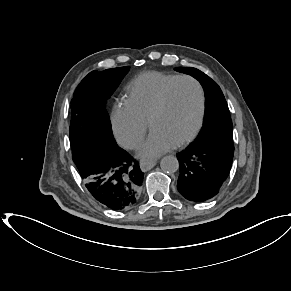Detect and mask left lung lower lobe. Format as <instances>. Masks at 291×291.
<instances>
[{
	"label": "left lung lower lobe",
	"instance_id": "obj_1",
	"mask_svg": "<svg viewBox=\"0 0 291 291\" xmlns=\"http://www.w3.org/2000/svg\"><path fill=\"white\" fill-rule=\"evenodd\" d=\"M234 150L213 145H189L177 154V189L187 200L204 202L215 197L226 181Z\"/></svg>",
	"mask_w": 291,
	"mask_h": 291
}]
</instances>
